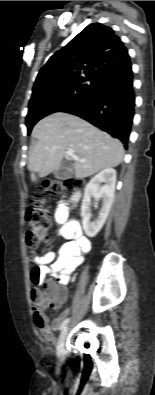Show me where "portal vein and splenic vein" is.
<instances>
[{"mask_svg":"<svg viewBox=\"0 0 155 395\" xmlns=\"http://www.w3.org/2000/svg\"><path fill=\"white\" fill-rule=\"evenodd\" d=\"M67 156L72 158L75 161H79V162H85V160L80 159L78 156H76L72 151H67L66 152Z\"/></svg>","mask_w":155,"mask_h":395,"instance_id":"obj_1","label":"portal vein and splenic vein"}]
</instances>
